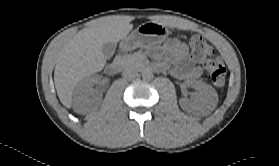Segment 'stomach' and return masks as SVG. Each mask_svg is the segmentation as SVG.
Returning <instances> with one entry per match:
<instances>
[{
    "label": "stomach",
    "mask_w": 279,
    "mask_h": 166,
    "mask_svg": "<svg viewBox=\"0 0 279 166\" xmlns=\"http://www.w3.org/2000/svg\"><path fill=\"white\" fill-rule=\"evenodd\" d=\"M169 33L168 28L160 23H143L122 39L120 47L124 51H131L139 47L147 49L164 42Z\"/></svg>",
    "instance_id": "stomach-1"
}]
</instances>
